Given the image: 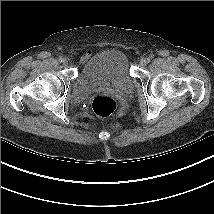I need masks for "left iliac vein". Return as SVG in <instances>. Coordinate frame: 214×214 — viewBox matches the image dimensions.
I'll use <instances>...</instances> for the list:
<instances>
[{
    "label": "left iliac vein",
    "mask_w": 214,
    "mask_h": 214,
    "mask_svg": "<svg viewBox=\"0 0 214 214\" xmlns=\"http://www.w3.org/2000/svg\"><path fill=\"white\" fill-rule=\"evenodd\" d=\"M148 62H149L148 58H141L140 59V64L143 66L146 65Z\"/></svg>",
    "instance_id": "obj_1"
}]
</instances>
